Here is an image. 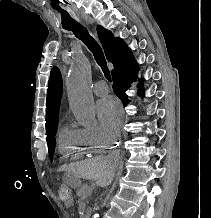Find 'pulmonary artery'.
Returning a JSON list of instances; mask_svg holds the SVG:
<instances>
[{"instance_id":"pulmonary-artery-1","label":"pulmonary artery","mask_w":211,"mask_h":218,"mask_svg":"<svg viewBox=\"0 0 211 218\" xmlns=\"http://www.w3.org/2000/svg\"><path fill=\"white\" fill-rule=\"evenodd\" d=\"M109 91V86L104 80H100L94 85V92L98 96H105Z\"/></svg>"}]
</instances>
